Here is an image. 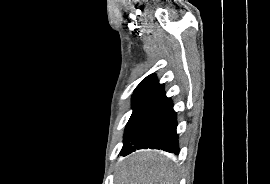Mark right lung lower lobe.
<instances>
[{
  "mask_svg": "<svg viewBox=\"0 0 270 184\" xmlns=\"http://www.w3.org/2000/svg\"><path fill=\"white\" fill-rule=\"evenodd\" d=\"M177 116L164 90L149 98L124 141L121 156L137 149H161L179 154Z\"/></svg>",
  "mask_w": 270,
  "mask_h": 184,
  "instance_id": "obj_1",
  "label": "right lung lower lobe"
}]
</instances>
